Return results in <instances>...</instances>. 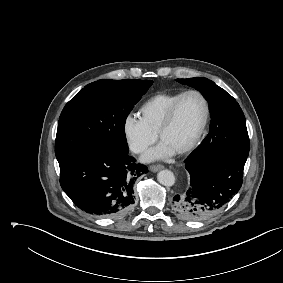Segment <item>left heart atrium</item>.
I'll return each instance as SVG.
<instances>
[{
	"label": "left heart atrium",
	"mask_w": 283,
	"mask_h": 283,
	"mask_svg": "<svg viewBox=\"0 0 283 283\" xmlns=\"http://www.w3.org/2000/svg\"><path fill=\"white\" fill-rule=\"evenodd\" d=\"M177 152L168 146L163 141L156 146L155 148L148 151L144 157V161H154V160H161V159H168L175 155Z\"/></svg>",
	"instance_id": "1"
}]
</instances>
